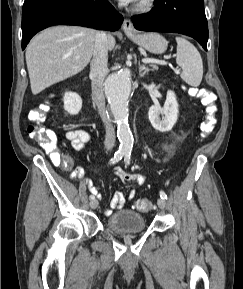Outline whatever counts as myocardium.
I'll use <instances>...</instances> for the list:
<instances>
[{
	"label": "myocardium",
	"mask_w": 243,
	"mask_h": 289,
	"mask_svg": "<svg viewBox=\"0 0 243 289\" xmlns=\"http://www.w3.org/2000/svg\"><path fill=\"white\" fill-rule=\"evenodd\" d=\"M156 4V0H138L134 6V10L137 12H148Z\"/></svg>",
	"instance_id": "1"
}]
</instances>
